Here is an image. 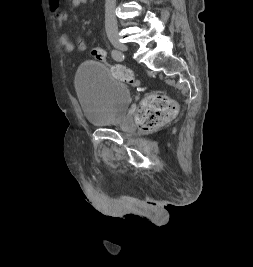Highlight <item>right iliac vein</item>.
<instances>
[{
    "label": "right iliac vein",
    "instance_id": "63e3f726",
    "mask_svg": "<svg viewBox=\"0 0 253 267\" xmlns=\"http://www.w3.org/2000/svg\"><path fill=\"white\" fill-rule=\"evenodd\" d=\"M110 42L112 43V45H113L115 48H117V49H119V50H121V51H126V50H127V46H126V44L121 43V42L118 40L117 37H111V38H110Z\"/></svg>",
    "mask_w": 253,
    "mask_h": 267
}]
</instances>
